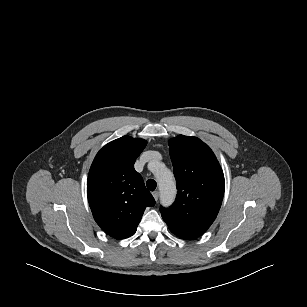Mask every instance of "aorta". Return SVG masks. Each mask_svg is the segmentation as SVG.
I'll return each instance as SVG.
<instances>
[{
  "label": "aorta",
  "mask_w": 307,
  "mask_h": 307,
  "mask_svg": "<svg viewBox=\"0 0 307 307\" xmlns=\"http://www.w3.org/2000/svg\"><path fill=\"white\" fill-rule=\"evenodd\" d=\"M153 172L158 182L162 205H171L175 200L177 192L173 173L160 162L155 163Z\"/></svg>",
  "instance_id": "762f6f07"
}]
</instances>
